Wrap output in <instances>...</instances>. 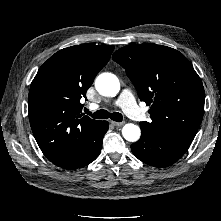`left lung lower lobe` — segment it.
Wrapping results in <instances>:
<instances>
[{
    "instance_id": "left-lung-lower-lobe-1",
    "label": "left lung lower lobe",
    "mask_w": 221,
    "mask_h": 221,
    "mask_svg": "<svg viewBox=\"0 0 221 221\" xmlns=\"http://www.w3.org/2000/svg\"><path fill=\"white\" fill-rule=\"evenodd\" d=\"M191 142L157 130L141 127V138L131 145L133 154L142 162L167 167L177 162Z\"/></svg>"
}]
</instances>
